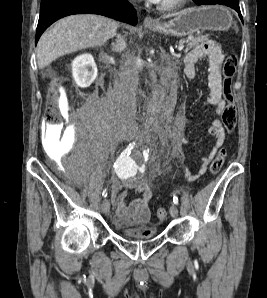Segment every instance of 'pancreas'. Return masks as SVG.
<instances>
[{"instance_id": "pancreas-1", "label": "pancreas", "mask_w": 267, "mask_h": 298, "mask_svg": "<svg viewBox=\"0 0 267 298\" xmlns=\"http://www.w3.org/2000/svg\"><path fill=\"white\" fill-rule=\"evenodd\" d=\"M205 39H206V37L202 36V35L190 37L189 39L181 40L179 42V45L186 44L185 52H187L190 49H192L193 47L197 46L200 42H202Z\"/></svg>"}]
</instances>
